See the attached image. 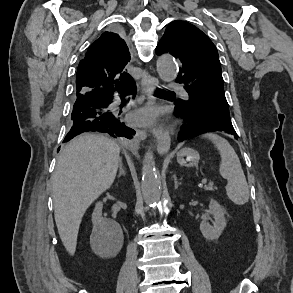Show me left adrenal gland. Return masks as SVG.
<instances>
[{"instance_id": "1", "label": "left adrenal gland", "mask_w": 293, "mask_h": 293, "mask_svg": "<svg viewBox=\"0 0 293 293\" xmlns=\"http://www.w3.org/2000/svg\"><path fill=\"white\" fill-rule=\"evenodd\" d=\"M173 180H174V187L175 189H177L180 183H178L176 175L173 176Z\"/></svg>"}]
</instances>
